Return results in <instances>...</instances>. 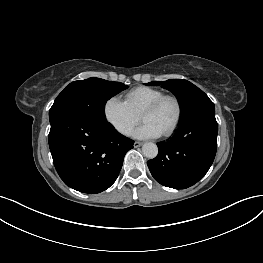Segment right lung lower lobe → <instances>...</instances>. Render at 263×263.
Instances as JSON below:
<instances>
[{
	"mask_svg": "<svg viewBox=\"0 0 263 263\" xmlns=\"http://www.w3.org/2000/svg\"><path fill=\"white\" fill-rule=\"evenodd\" d=\"M48 141L60 178L83 193L108 189L134 144L107 121L82 116H63L51 123Z\"/></svg>",
	"mask_w": 263,
	"mask_h": 263,
	"instance_id": "1",
	"label": "right lung lower lobe"
}]
</instances>
